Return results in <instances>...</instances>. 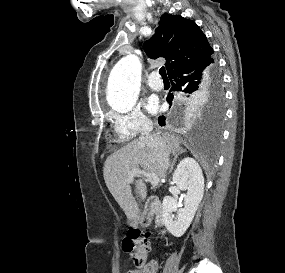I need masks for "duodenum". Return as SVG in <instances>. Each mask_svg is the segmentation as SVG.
<instances>
[{
	"mask_svg": "<svg viewBox=\"0 0 285 273\" xmlns=\"http://www.w3.org/2000/svg\"><path fill=\"white\" fill-rule=\"evenodd\" d=\"M161 214L162 205L159 199L156 197H149L140 221L142 224H145L150 219L154 218L156 225L161 226L163 224Z\"/></svg>",
	"mask_w": 285,
	"mask_h": 273,
	"instance_id": "1",
	"label": "duodenum"
}]
</instances>
